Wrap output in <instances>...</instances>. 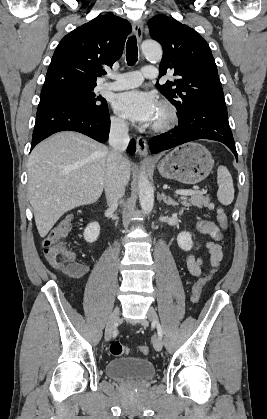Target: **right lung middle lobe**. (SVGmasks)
<instances>
[{
	"label": "right lung middle lobe",
	"instance_id": "dd1d6c3e",
	"mask_svg": "<svg viewBox=\"0 0 267 419\" xmlns=\"http://www.w3.org/2000/svg\"><path fill=\"white\" fill-rule=\"evenodd\" d=\"M94 88L66 86L47 94L73 102L88 112L100 113L108 108L107 102L101 96L95 95Z\"/></svg>",
	"mask_w": 267,
	"mask_h": 419
}]
</instances>
